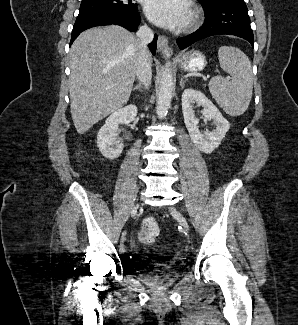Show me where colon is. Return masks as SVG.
Returning <instances> with one entry per match:
<instances>
[{
  "instance_id": "1",
  "label": "colon",
  "mask_w": 298,
  "mask_h": 325,
  "mask_svg": "<svg viewBox=\"0 0 298 325\" xmlns=\"http://www.w3.org/2000/svg\"><path fill=\"white\" fill-rule=\"evenodd\" d=\"M158 234V222L152 217L145 218L138 234L139 240L144 244H150L155 241Z\"/></svg>"
}]
</instances>
